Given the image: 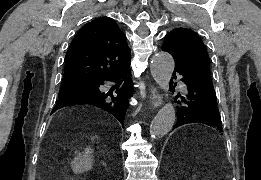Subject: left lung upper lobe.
Listing matches in <instances>:
<instances>
[{
    "instance_id": "left-lung-upper-lobe-1",
    "label": "left lung upper lobe",
    "mask_w": 261,
    "mask_h": 180,
    "mask_svg": "<svg viewBox=\"0 0 261 180\" xmlns=\"http://www.w3.org/2000/svg\"><path fill=\"white\" fill-rule=\"evenodd\" d=\"M162 50L173 56L175 65L198 74L207 83L213 85L206 47L195 32L190 29L175 28L166 35Z\"/></svg>"
}]
</instances>
